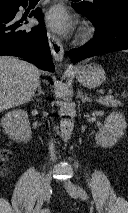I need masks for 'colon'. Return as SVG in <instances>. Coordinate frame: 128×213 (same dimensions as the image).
I'll list each match as a JSON object with an SVG mask.
<instances>
[{"mask_svg":"<svg viewBox=\"0 0 128 213\" xmlns=\"http://www.w3.org/2000/svg\"><path fill=\"white\" fill-rule=\"evenodd\" d=\"M11 152L6 148L0 149V163L4 166L5 163L10 159Z\"/></svg>","mask_w":128,"mask_h":213,"instance_id":"1","label":"colon"}]
</instances>
